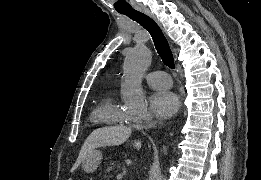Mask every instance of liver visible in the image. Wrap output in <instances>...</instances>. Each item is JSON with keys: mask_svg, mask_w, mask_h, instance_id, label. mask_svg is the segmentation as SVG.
Wrapping results in <instances>:
<instances>
[{"mask_svg": "<svg viewBox=\"0 0 261 180\" xmlns=\"http://www.w3.org/2000/svg\"><path fill=\"white\" fill-rule=\"evenodd\" d=\"M131 134V128H125V126H106V128L94 130V132L88 136L87 140H85L79 152V156L74 166H72L71 172L77 170L82 160H87L88 156H90L95 148H103V146H121V144H124V142L130 138ZM134 148L135 150H140L141 142H139V140H134Z\"/></svg>", "mask_w": 261, "mask_h": 180, "instance_id": "obj_1", "label": "liver"}]
</instances>
